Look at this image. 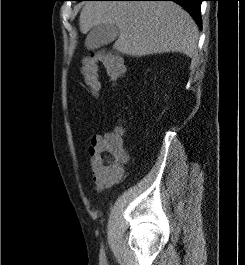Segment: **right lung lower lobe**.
<instances>
[{"label":"right lung lower lobe","mask_w":245,"mask_h":265,"mask_svg":"<svg viewBox=\"0 0 245 265\" xmlns=\"http://www.w3.org/2000/svg\"><path fill=\"white\" fill-rule=\"evenodd\" d=\"M123 1H174L177 4L184 7L190 15L193 17V19L196 21L197 25L201 28L202 22H201V2L203 0H123Z\"/></svg>","instance_id":"obj_1"}]
</instances>
